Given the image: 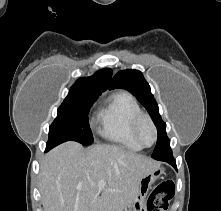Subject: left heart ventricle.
Listing matches in <instances>:
<instances>
[{
    "label": "left heart ventricle",
    "mask_w": 221,
    "mask_h": 211,
    "mask_svg": "<svg viewBox=\"0 0 221 211\" xmlns=\"http://www.w3.org/2000/svg\"><path fill=\"white\" fill-rule=\"evenodd\" d=\"M140 135L143 142L147 145L151 144L154 140V132L147 122H144L142 124L140 129Z\"/></svg>",
    "instance_id": "obj_1"
}]
</instances>
